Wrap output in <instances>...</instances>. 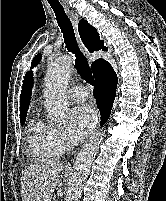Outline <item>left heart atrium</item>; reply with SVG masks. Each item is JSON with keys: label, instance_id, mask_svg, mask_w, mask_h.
Returning <instances> with one entry per match:
<instances>
[{"label": "left heart atrium", "instance_id": "1", "mask_svg": "<svg viewBox=\"0 0 166 201\" xmlns=\"http://www.w3.org/2000/svg\"><path fill=\"white\" fill-rule=\"evenodd\" d=\"M97 120L95 111L88 105H79L70 112L69 131L74 142H79L90 132Z\"/></svg>", "mask_w": 166, "mask_h": 201}]
</instances>
